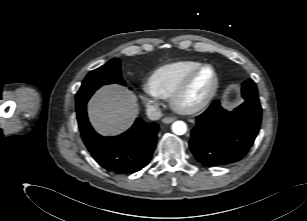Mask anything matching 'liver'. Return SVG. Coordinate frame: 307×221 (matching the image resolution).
<instances>
[{
    "label": "liver",
    "instance_id": "6515ba94",
    "mask_svg": "<svg viewBox=\"0 0 307 221\" xmlns=\"http://www.w3.org/2000/svg\"><path fill=\"white\" fill-rule=\"evenodd\" d=\"M87 110L92 126L103 136L126 131L139 114L136 95L116 84L101 87L88 102Z\"/></svg>",
    "mask_w": 307,
    "mask_h": 221
}]
</instances>
